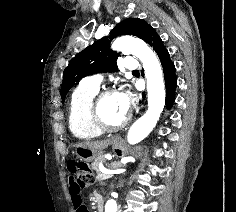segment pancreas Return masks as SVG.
I'll return each instance as SVG.
<instances>
[{
	"mask_svg": "<svg viewBox=\"0 0 236 212\" xmlns=\"http://www.w3.org/2000/svg\"><path fill=\"white\" fill-rule=\"evenodd\" d=\"M99 162H100V159H95L92 163V169L95 170L96 173H97V176H96L97 180H101L100 176L102 174L99 170ZM104 163L106 164L105 160H104ZM106 166L109 167V168H119V167H121L120 163H118V162H113L111 164H106Z\"/></svg>",
	"mask_w": 236,
	"mask_h": 212,
	"instance_id": "cf45deb5",
	"label": "pancreas"
}]
</instances>
